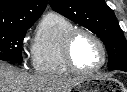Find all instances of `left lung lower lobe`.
Masks as SVG:
<instances>
[{"label": "left lung lower lobe", "instance_id": "obj_1", "mask_svg": "<svg viewBox=\"0 0 127 92\" xmlns=\"http://www.w3.org/2000/svg\"><path fill=\"white\" fill-rule=\"evenodd\" d=\"M120 70H122V71H126V72H127V68H122V69H120Z\"/></svg>", "mask_w": 127, "mask_h": 92}]
</instances>
